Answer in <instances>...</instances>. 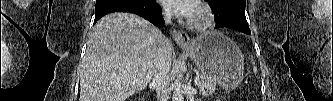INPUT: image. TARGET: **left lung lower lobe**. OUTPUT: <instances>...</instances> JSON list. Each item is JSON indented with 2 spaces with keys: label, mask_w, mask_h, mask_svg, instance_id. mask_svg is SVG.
<instances>
[{
  "label": "left lung lower lobe",
  "mask_w": 333,
  "mask_h": 101,
  "mask_svg": "<svg viewBox=\"0 0 333 101\" xmlns=\"http://www.w3.org/2000/svg\"><path fill=\"white\" fill-rule=\"evenodd\" d=\"M227 1L232 4L234 9H245V0H208L207 2L211 5L215 15L216 28L227 27L245 34H251L246 17H235L232 19L229 12H222V8Z\"/></svg>",
  "instance_id": "left-lung-lower-lobe-1"
}]
</instances>
